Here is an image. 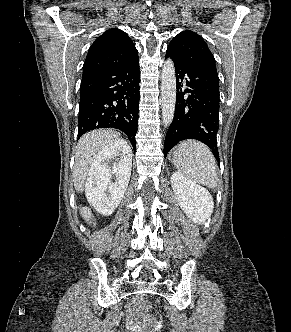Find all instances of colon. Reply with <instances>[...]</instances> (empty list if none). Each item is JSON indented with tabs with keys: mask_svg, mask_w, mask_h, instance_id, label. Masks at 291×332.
Masks as SVG:
<instances>
[{
	"mask_svg": "<svg viewBox=\"0 0 291 332\" xmlns=\"http://www.w3.org/2000/svg\"><path fill=\"white\" fill-rule=\"evenodd\" d=\"M141 309L145 312H148L152 309V305L149 301L141 302Z\"/></svg>",
	"mask_w": 291,
	"mask_h": 332,
	"instance_id": "colon-1",
	"label": "colon"
}]
</instances>
